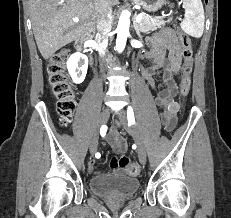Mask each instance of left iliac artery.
<instances>
[{
	"label": "left iliac artery",
	"mask_w": 231,
	"mask_h": 218,
	"mask_svg": "<svg viewBox=\"0 0 231 218\" xmlns=\"http://www.w3.org/2000/svg\"><path fill=\"white\" fill-rule=\"evenodd\" d=\"M127 116H128L129 125L134 124L135 118H134V112L131 106L128 107Z\"/></svg>",
	"instance_id": "obj_1"
}]
</instances>
